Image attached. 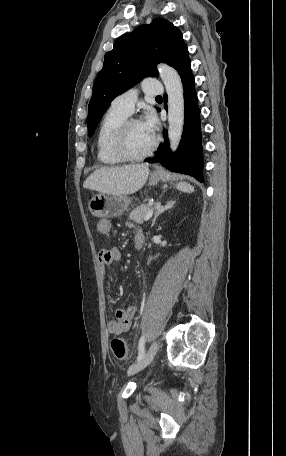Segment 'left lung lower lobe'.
Masks as SVG:
<instances>
[{"mask_svg": "<svg viewBox=\"0 0 286 456\" xmlns=\"http://www.w3.org/2000/svg\"><path fill=\"white\" fill-rule=\"evenodd\" d=\"M178 73L182 79L185 100L184 130L178 151L175 155L172 154L169 143L165 141V144L158 148V154L146 161L149 163L159 161L171 171L191 175L203 182L200 109L197 103V94L194 88L195 80L192 75L190 60L181 66Z\"/></svg>", "mask_w": 286, "mask_h": 456, "instance_id": "1", "label": "left lung lower lobe"}]
</instances>
